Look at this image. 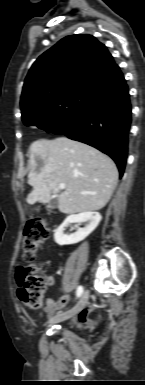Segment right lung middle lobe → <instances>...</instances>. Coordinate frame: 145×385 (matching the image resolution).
Wrapping results in <instances>:
<instances>
[{
  "instance_id": "right-lung-middle-lobe-1",
  "label": "right lung middle lobe",
  "mask_w": 145,
  "mask_h": 385,
  "mask_svg": "<svg viewBox=\"0 0 145 385\" xmlns=\"http://www.w3.org/2000/svg\"><path fill=\"white\" fill-rule=\"evenodd\" d=\"M94 91L86 89L70 90L53 100L35 107L22 116L27 126H38L53 132L68 123L89 101Z\"/></svg>"
}]
</instances>
